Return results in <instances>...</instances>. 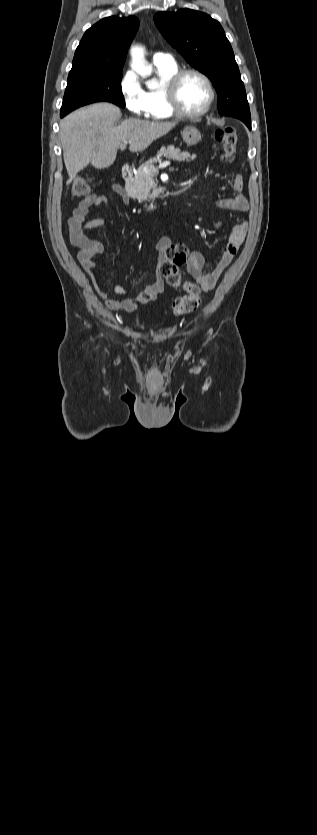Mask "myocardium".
<instances>
[{"label": "myocardium", "mask_w": 317, "mask_h": 835, "mask_svg": "<svg viewBox=\"0 0 317 835\" xmlns=\"http://www.w3.org/2000/svg\"><path fill=\"white\" fill-rule=\"evenodd\" d=\"M188 75H196V76L200 77L205 82V84L208 88V91H209V98H208V101H207L206 105L204 106V108L202 110H200L196 113H188L185 110H183V108L181 107L180 101H179V89H180L181 82ZM166 95H167L168 103H169L173 113L175 114V116L180 117V118H184V119H196V118L204 116L206 113L209 112V110L211 109V107L214 103L216 93H215V88H214L213 82L207 74H205L204 72H202L199 69L185 68V69H179L168 80L167 85H166Z\"/></svg>", "instance_id": "myocardium-1"}]
</instances>
